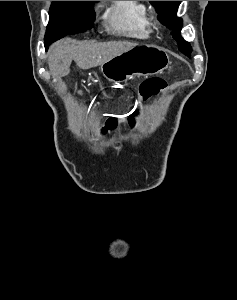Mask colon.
Listing matches in <instances>:
<instances>
[{"label":"colon","mask_w":237,"mask_h":300,"mask_svg":"<svg viewBox=\"0 0 237 300\" xmlns=\"http://www.w3.org/2000/svg\"><path fill=\"white\" fill-rule=\"evenodd\" d=\"M166 88V81L160 77H152L143 81L138 90V94L140 99L146 100L154 95H157L163 92ZM139 113V108L135 107L132 113L128 116V123L133 126L135 123V118ZM118 118H110L107 121L106 127L104 128V132L108 130H113L118 125Z\"/></svg>","instance_id":"1"}]
</instances>
